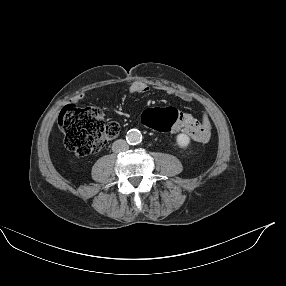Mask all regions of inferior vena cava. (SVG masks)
I'll use <instances>...</instances> for the list:
<instances>
[{"label":"inferior vena cava","instance_id":"obj_1","mask_svg":"<svg viewBox=\"0 0 286 286\" xmlns=\"http://www.w3.org/2000/svg\"><path fill=\"white\" fill-rule=\"evenodd\" d=\"M112 150L115 153H119V152H123L128 150V144L125 140L123 139H119L116 140L113 144H112Z\"/></svg>","mask_w":286,"mask_h":286}]
</instances>
